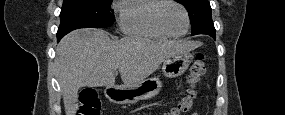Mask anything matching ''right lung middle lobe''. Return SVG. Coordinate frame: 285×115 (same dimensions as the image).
<instances>
[{
    "instance_id": "dd1d6c3e",
    "label": "right lung middle lobe",
    "mask_w": 285,
    "mask_h": 115,
    "mask_svg": "<svg viewBox=\"0 0 285 115\" xmlns=\"http://www.w3.org/2000/svg\"><path fill=\"white\" fill-rule=\"evenodd\" d=\"M112 0H64L57 38L78 28H105L114 21Z\"/></svg>"
}]
</instances>
